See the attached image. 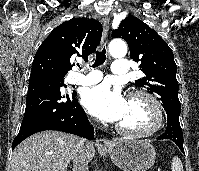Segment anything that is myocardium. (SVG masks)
Returning <instances> with one entry per match:
<instances>
[{"label":"myocardium","mask_w":199,"mask_h":171,"mask_svg":"<svg viewBox=\"0 0 199 171\" xmlns=\"http://www.w3.org/2000/svg\"><path fill=\"white\" fill-rule=\"evenodd\" d=\"M134 98H141L149 105L152 113V123L147 128L140 130H132L125 128L120 124H116L115 128L117 132L125 136L137 138L149 137L154 135L160 130L163 124V110L159 101L151 93L144 90L131 91L128 94L127 99L131 100Z\"/></svg>","instance_id":"myocardium-1"}]
</instances>
